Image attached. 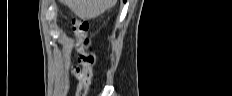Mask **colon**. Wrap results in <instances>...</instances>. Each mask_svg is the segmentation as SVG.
<instances>
[{
  "mask_svg": "<svg viewBox=\"0 0 232 96\" xmlns=\"http://www.w3.org/2000/svg\"><path fill=\"white\" fill-rule=\"evenodd\" d=\"M73 31L78 40V51L81 54L82 61L84 65L91 66L95 63V55L92 52H89L91 41L87 37V32L89 30V23L86 20L74 19L72 22ZM77 72H81L80 69H77ZM86 82V79H84ZM86 88L84 85H81L78 88V95H84Z\"/></svg>",
  "mask_w": 232,
  "mask_h": 96,
  "instance_id": "1",
  "label": "colon"
}]
</instances>
